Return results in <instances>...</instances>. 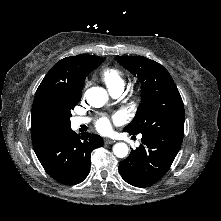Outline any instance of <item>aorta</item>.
Wrapping results in <instances>:
<instances>
[{
  "mask_svg": "<svg viewBox=\"0 0 221 221\" xmlns=\"http://www.w3.org/2000/svg\"><path fill=\"white\" fill-rule=\"evenodd\" d=\"M87 102L92 106H102L108 100V94L101 87H92L86 91ZM129 148L126 143L118 142L113 146V153L118 158H125L128 155Z\"/></svg>",
  "mask_w": 221,
  "mask_h": 221,
  "instance_id": "1",
  "label": "aorta"
}]
</instances>
